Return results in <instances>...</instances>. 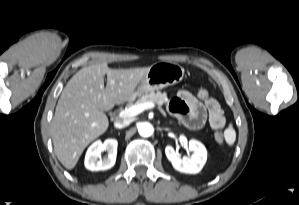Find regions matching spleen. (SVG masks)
I'll use <instances>...</instances> for the list:
<instances>
[{"label":"spleen","instance_id":"spleen-1","mask_svg":"<svg viewBox=\"0 0 299 205\" xmlns=\"http://www.w3.org/2000/svg\"><path fill=\"white\" fill-rule=\"evenodd\" d=\"M224 137L229 146H232L236 139V132L232 125H230L224 132Z\"/></svg>","mask_w":299,"mask_h":205}]
</instances>
